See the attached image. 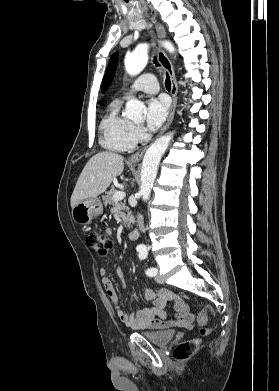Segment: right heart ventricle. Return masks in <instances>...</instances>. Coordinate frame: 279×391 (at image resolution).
<instances>
[{
  "label": "right heart ventricle",
  "mask_w": 279,
  "mask_h": 391,
  "mask_svg": "<svg viewBox=\"0 0 279 391\" xmlns=\"http://www.w3.org/2000/svg\"><path fill=\"white\" fill-rule=\"evenodd\" d=\"M121 101L113 100L101 123V145L111 151L124 152L134 148L133 124L121 114Z\"/></svg>",
  "instance_id": "1"
}]
</instances>
